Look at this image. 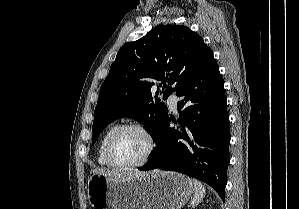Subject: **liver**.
<instances>
[{
  "label": "liver",
  "instance_id": "6515ba94",
  "mask_svg": "<svg viewBox=\"0 0 299 209\" xmlns=\"http://www.w3.org/2000/svg\"><path fill=\"white\" fill-rule=\"evenodd\" d=\"M93 173L95 174H102L108 177H114L117 179H126V178H132V177H141L146 175L145 172H140L138 170H126V171H105L101 169H95L93 170Z\"/></svg>",
  "mask_w": 299,
  "mask_h": 209
}]
</instances>
